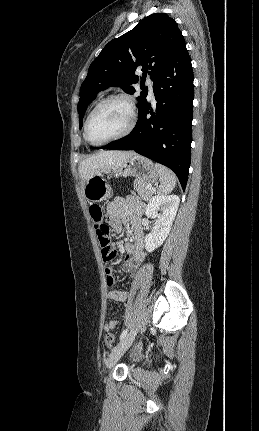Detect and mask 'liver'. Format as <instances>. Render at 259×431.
<instances>
[{
	"label": "liver",
	"mask_w": 259,
	"mask_h": 431,
	"mask_svg": "<svg viewBox=\"0 0 259 431\" xmlns=\"http://www.w3.org/2000/svg\"><path fill=\"white\" fill-rule=\"evenodd\" d=\"M136 153L133 151H100L84 159L79 166V175L81 178V185L84 188L86 181L95 176L102 175V173L118 167L125 160L134 156Z\"/></svg>",
	"instance_id": "1"
}]
</instances>
